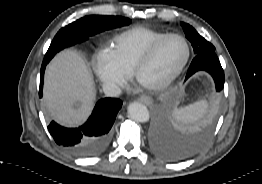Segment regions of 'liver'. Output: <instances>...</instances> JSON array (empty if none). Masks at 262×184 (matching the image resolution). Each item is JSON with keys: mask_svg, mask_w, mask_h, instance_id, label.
<instances>
[{"mask_svg": "<svg viewBox=\"0 0 262 184\" xmlns=\"http://www.w3.org/2000/svg\"><path fill=\"white\" fill-rule=\"evenodd\" d=\"M95 96L92 73L75 51L61 52L47 67L44 99L50 115L61 125L82 124Z\"/></svg>", "mask_w": 262, "mask_h": 184, "instance_id": "1", "label": "liver"}]
</instances>
